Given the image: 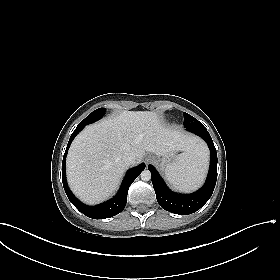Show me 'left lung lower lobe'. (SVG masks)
<instances>
[{"instance_id":"left-lung-lower-lobe-1","label":"left lung lower lobe","mask_w":280,"mask_h":280,"mask_svg":"<svg viewBox=\"0 0 280 280\" xmlns=\"http://www.w3.org/2000/svg\"><path fill=\"white\" fill-rule=\"evenodd\" d=\"M188 131L203 138L210 149L209 173L201 189L188 195L174 193L166 186L156 169L152 165L148 166L158 203L163 209L180 215L192 214L199 210L211 197L217 180V153L209 132L204 126Z\"/></svg>"}]
</instances>
